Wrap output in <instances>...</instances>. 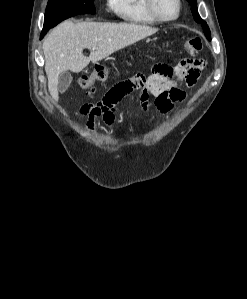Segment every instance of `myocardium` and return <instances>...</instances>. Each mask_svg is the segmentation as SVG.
<instances>
[{
	"instance_id": "1",
	"label": "myocardium",
	"mask_w": 247,
	"mask_h": 299,
	"mask_svg": "<svg viewBox=\"0 0 247 299\" xmlns=\"http://www.w3.org/2000/svg\"><path fill=\"white\" fill-rule=\"evenodd\" d=\"M176 2V5H177V9H176V13L174 16L172 17H169V18H165V17H162L157 9H156V0H146V4H147V9H148V12L150 13V15L158 22H172L174 20H176L180 13H181V0H175Z\"/></svg>"
}]
</instances>
